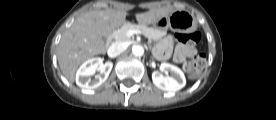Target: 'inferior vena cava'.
Listing matches in <instances>:
<instances>
[{
	"mask_svg": "<svg viewBox=\"0 0 276 120\" xmlns=\"http://www.w3.org/2000/svg\"><path fill=\"white\" fill-rule=\"evenodd\" d=\"M127 48V45L123 42H116L113 43L109 48H108V56L111 58L117 57L119 54L124 52Z\"/></svg>",
	"mask_w": 276,
	"mask_h": 120,
	"instance_id": "obj_1",
	"label": "inferior vena cava"
}]
</instances>
